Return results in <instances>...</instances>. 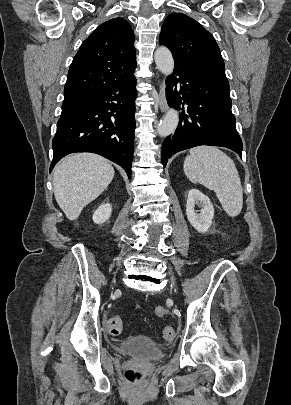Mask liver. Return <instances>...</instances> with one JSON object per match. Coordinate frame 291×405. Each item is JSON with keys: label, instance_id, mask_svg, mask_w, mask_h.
<instances>
[{"label": "liver", "instance_id": "6515ba94", "mask_svg": "<svg viewBox=\"0 0 291 405\" xmlns=\"http://www.w3.org/2000/svg\"><path fill=\"white\" fill-rule=\"evenodd\" d=\"M113 177L114 168L102 156L92 153L69 155L54 168L55 199L66 217L76 220L83 208L108 187Z\"/></svg>", "mask_w": 291, "mask_h": 405}]
</instances>
